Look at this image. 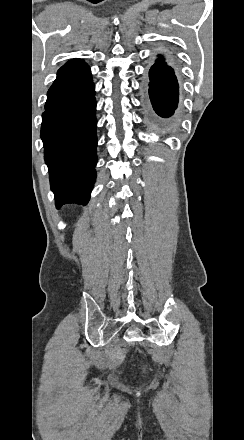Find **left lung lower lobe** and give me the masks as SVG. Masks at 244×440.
Segmentation results:
<instances>
[{"mask_svg": "<svg viewBox=\"0 0 244 440\" xmlns=\"http://www.w3.org/2000/svg\"><path fill=\"white\" fill-rule=\"evenodd\" d=\"M144 120L149 129L161 136L173 135L179 127L175 115L179 100V86L174 70L159 57L149 70V82L141 84Z\"/></svg>", "mask_w": 244, "mask_h": 440, "instance_id": "left-lung-lower-lobe-1", "label": "left lung lower lobe"}]
</instances>
